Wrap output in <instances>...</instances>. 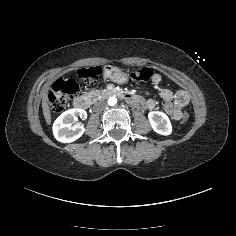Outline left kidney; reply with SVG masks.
<instances>
[{
    "label": "left kidney",
    "mask_w": 236,
    "mask_h": 236,
    "mask_svg": "<svg viewBox=\"0 0 236 236\" xmlns=\"http://www.w3.org/2000/svg\"><path fill=\"white\" fill-rule=\"evenodd\" d=\"M148 118L153 130L161 135H170L172 132L171 122L168 116L160 111L149 112Z\"/></svg>",
    "instance_id": "left-kidney-1"
}]
</instances>
